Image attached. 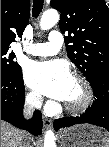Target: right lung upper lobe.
Wrapping results in <instances>:
<instances>
[{
    "instance_id": "obj_1",
    "label": "right lung upper lobe",
    "mask_w": 109,
    "mask_h": 147,
    "mask_svg": "<svg viewBox=\"0 0 109 147\" xmlns=\"http://www.w3.org/2000/svg\"><path fill=\"white\" fill-rule=\"evenodd\" d=\"M30 15L29 0H1V48L22 36Z\"/></svg>"
}]
</instances>
